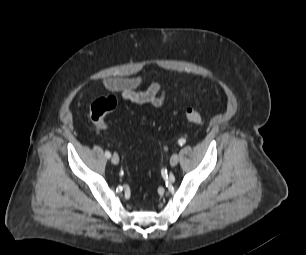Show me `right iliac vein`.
<instances>
[{
    "instance_id": "obj_1",
    "label": "right iliac vein",
    "mask_w": 306,
    "mask_h": 255,
    "mask_svg": "<svg viewBox=\"0 0 306 255\" xmlns=\"http://www.w3.org/2000/svg\"><path fill=\"white\" fill-rule=\"evenodd\" d=\"M111 162L113 164H118L119 163V156L117 154H113L112 158H111Z\"/></svg>"
}]
</instances>
